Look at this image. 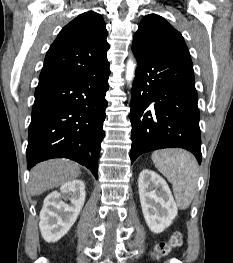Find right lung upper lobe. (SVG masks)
<instances>
[{
	"instance_id": "1",
	"label": "right lung upper lobe",
	"mask_w": 233,
	"mask_h": 263,
	"mask_svg": "<svg viewBox=\"0 0 233 263\" xmlns=\"http://www.w3.org/2000/svg\"><path fill=\"white\" fill-rule=\"evenodd\" d=\"M106 37L105 22L100 14L88 11L76 17L50 46L38 85L93 74L107 61Z\"/></svg>"
}]
</instances>
